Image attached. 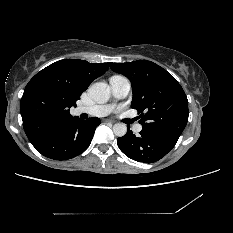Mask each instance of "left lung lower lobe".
<instances>
[{"instance_id":"obj_1","label":"left lung lower lobe","mask_w":233,"mask_h":233,"mask_svg":"<svg viewBox=\"0 0 233 233\" xmlns=\"http://www.w3.org/2000/svg\"><path fill=\"white\" fill-rule=\"evenodd\" d=\"M178 139L143 129L140 135L136 136L128 129L123 137L117 139V145L129 158L139 162L153 163L170 152Z\"/></svg>"}]
</instances>
